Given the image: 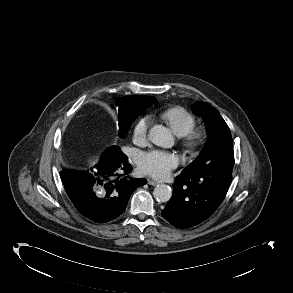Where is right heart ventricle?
<instances>
[{"mask_svg":"<svg viewBox=\"0 0 293 293\" xmlns=\"http://www.w3.org/2000/svg\"><path fill=\"white\" fill-rule=\"evenodd\" d=\"M161 118L177 136L186 135L196 124L195 117L186 109L179 106L164 110L161 113Z\"/></svg>","mask_w":293,"mask_h":293,"instance_id":"right-heart-ventricle-1","label":"right heart ventricle"}]
</instances>
